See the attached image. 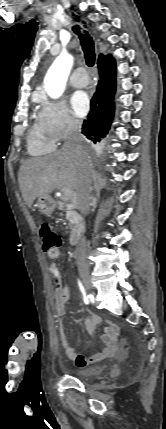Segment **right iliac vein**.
Listing matches in <instances>:
<instances>
[{"mask_svg":"<svg viewBox=\"0 0 166 429\" xmlns=\"http://www.w3.org/2000/svg\"><path fill=\"white\" fill-rule=\"evenodd\" d=\"M79 274H80V278L84 284V286L91 291L92 289V285H91V279L88 273V270L85 268H80L79 269Z\"/></svg>","mask_w":166,"mask_h":429,"instance_id":"1","label":"right iliac vein"}]
</instances>
